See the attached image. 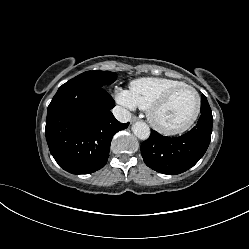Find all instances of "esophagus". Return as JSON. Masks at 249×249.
I'll return each instance as SVG.
<instances>
[{
	"label": "esophagus",
	"instance_id": "obj_1",
	"mask_svg": "<svg viewBox=\"0 0 249 249\" xmlns=\"http://www.w3.org/2000/svg\"><path fill=\"white\" fill-rule=\"evenodd\" d=\"M138 120V118L136 117V116H133L132 118H131V123H133V122H135V121H137Z\"/></svg>",
	"mask_w": 249,
	"mask_h": 249
}]
</instances>
